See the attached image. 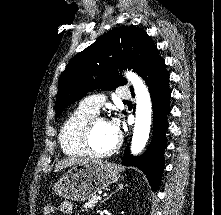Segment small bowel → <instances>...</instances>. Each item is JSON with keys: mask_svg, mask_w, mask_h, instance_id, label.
Returning a JSON list of instances; mask_svg holds the SVG:
<instances>
[{"mask_svg": "<svg viewBox=\"0 0 221 215\" xmlns=\"http://www.w3.org/2000/svg\"><path fill=\"white\" fill-rule=\"evenodd\" d=\"M61 211L64 214L70 215L74 211L73 205L69 202H64L61 204Z\"/></svg>", "mask_w": 221, "mask_h": 215, "instance_id": "obj_1", "label": "small bowel"}]
</instances>
